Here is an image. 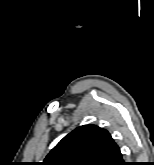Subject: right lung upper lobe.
Returning a JSON list of instances; mask_svg holds the SVG:
<instances>
[{
  "mask_svg": "<svg viewBox=\"0 0 154 165\" xmlns=\"http://www.w3.org/2000/svg\"><path fill=\"white\" fill-rule=\"evenodd\" d=\"M119 153L107 130L83 125L66 135L41 165H112Z\"/></svg>",
  "mask_w": 154,
  "mask_h": 165,
  "instance_id": "1",
  "label": "right lung upper lobe"
}]
</instances>
